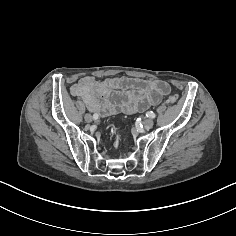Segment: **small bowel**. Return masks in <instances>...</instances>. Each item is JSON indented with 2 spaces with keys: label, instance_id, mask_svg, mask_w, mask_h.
<instances>
[{
  "label": "small bowel",
  "instance_id": "c3829d8e",
  "mask_svg": "<svg viewBox=\"0 0 236 236\" xmlns=\"http://www.w3.org/2000/svg\"><path fill=\"white\" fill-rule=\"evenodd\" d=\"M170 90L164 81L132 77L96 81L91 76H84L71 86V94L82 99L98 116L145 111L158 104Z\"/></svg>",
  "mask_w": 236,
  "mask_h": 236
}]
</instances>
